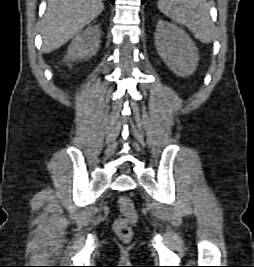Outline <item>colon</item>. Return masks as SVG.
Segmentation results:
<instances>
[{"label":"colon","instance_id":"obj_1","mask_svg":"<svg viewBox=\"0 0 254 267\" xmlns=\"http://www.w3.org/2000/svg\"><path fill=\"white\" fill-rule=\"evenodd\" d=\"M118 205L123 216L115 220L113 230L122 241H129L133 236L132 225L137 221V211L129 197H121Z\"/></svg>","mask_w":254,"mask_h":267}]
</instances>
